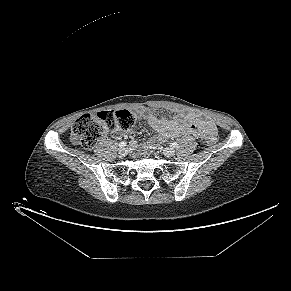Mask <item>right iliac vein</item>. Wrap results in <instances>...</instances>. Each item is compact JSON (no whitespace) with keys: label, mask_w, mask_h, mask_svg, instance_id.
<instances>
[{"label":"right iliac vein","mask_w":291,"mask_h":291,"mask_svg":"<svg viewBox=\"0 0 291 291\" xmlns=\"http://www.w3.org/2000/svg\"><path fill=\"white\" fill-rule=\"evenodd\" d=\"M118 153H119V155H120L121 157H124V156L127 155V153H128V149L125 148V147H121V148L118 150Z\"/></svg>","instance_id":"63e3f726"}]
</instances>
